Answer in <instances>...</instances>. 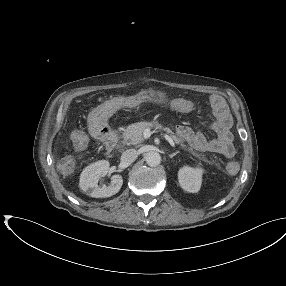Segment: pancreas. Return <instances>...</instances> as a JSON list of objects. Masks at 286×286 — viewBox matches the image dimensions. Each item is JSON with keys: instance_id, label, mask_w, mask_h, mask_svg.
Segmentation results:
<instances>
[{"instance_id": "cf45deb5", "label": "pancreas", "mask_w": 286, "mask_h": 286, "mask_svg": "<svg viewBox=\"0 0 286 286\" xmlns=\"http://www.w3.org/2000/svg\"><path fill=\"white\" fill-rule=\"evenodd\" d=\"M159 129L164 130L168 134H170L171 138L173 139L174 143L181 144L180 138L168 127H164L162 124L158 123L157 121L152 122H139L135 124H131L127 127L124 132L123 138L129 144H138L141 143L143 138V133L146 129ZM182 145V144H181ZM195 156L200 157L199 154L192 152Z\"/></svg>"}]
</instances>
